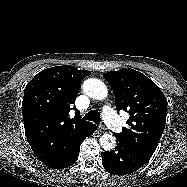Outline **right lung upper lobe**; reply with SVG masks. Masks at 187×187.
Listing matches in <instances>:
<instances>
[{
	"instance_id": "cb5924a9",
	"label": "right lung upper lobe",
	"mask_w": 187,
	"mask_h": 187,
	"mask_svg": "<svg viewBox=\"0 0 187 187\" xmlns=\"http://www.w3.org/2000/svg\"><path fill=\"white\" fill-rule=\"evenodd\" d=\"M91 71L71 65L56 66L38 73L25 87L22 114L31 149L45 165L65 158L71 142L96 126L80 118L73 107L81 81ZM76 111L70 119L69 111Z\"/></svg>"
}]
</instances>
